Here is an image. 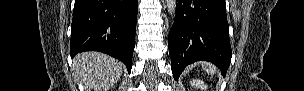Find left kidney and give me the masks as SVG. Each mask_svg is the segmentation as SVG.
Returning a JSON list of instances; mask_svg holds the SVG:
<instances>
[{
	"label": "left kidney",
	"mask_w": 304,
	"mask_h": 91,
	"mask_svg": "<svg viewBox=\"0 0 304 91\" xmlns=\"http://www.w3.org/2000/svg\"><path fill=\"white\" fill-rule=\"evenodd\" d=\"M190 84H191V86H193L195 88H199L202 91L203 90H205V91L207 90V85L203 81H201V80H197V79L192 80V81H190Z\"/></svg>",
	"instance_id": "5707ae66"
}]
</instances>
